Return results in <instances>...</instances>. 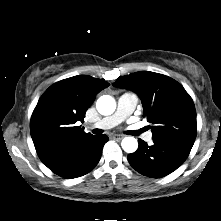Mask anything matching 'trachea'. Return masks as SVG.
Masks as SVG:
<instances>
[{
  "label": "trachea",
  "instance_id": "obj_1",
  "mask_svg": "<svg viewBox=\"0 0 221 221\" xmlns=\"http://www.w3.org/2000/svg\"><path fill=\"white\" fill-rule=\"evenodd\" d=\"M144 131H145V129L142 128V129L136 131L135 134L138 135V134H140V133H142V132H144ZM92 132H93V134H101V133H102V130H100V129H94Z\"/></svg>",
  "mask_w": 221,
  "mask_h": 221
}]
</instances>
